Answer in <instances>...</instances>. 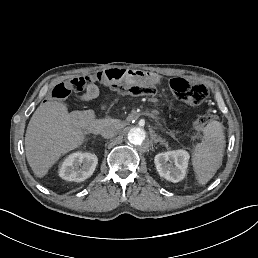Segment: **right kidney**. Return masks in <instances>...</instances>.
I'll return each mask as SVG.
<instances>
[{
	"label": "right kidney",
	"instance_id": "right-kidney-1",
	"mask_svg": "<svg viewBox=\"0 0 258 258\" xmlns=\"http://www.w3.org/2000/svg\"><path fill=\"white\" fill-rule=\"evenodd\" d=\"M81 163L82 165L80 166ZM97 164L98 158L96 154L75 151L62 160L58 173L63 180L82 182L93 174Z\"/></svg>",
	"mask_w": 258,
	"mask_h": 258
}]
</instances>
